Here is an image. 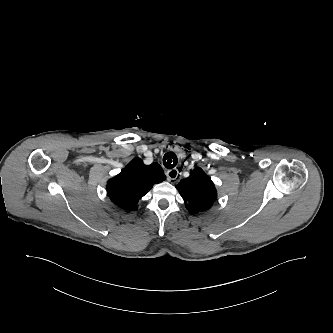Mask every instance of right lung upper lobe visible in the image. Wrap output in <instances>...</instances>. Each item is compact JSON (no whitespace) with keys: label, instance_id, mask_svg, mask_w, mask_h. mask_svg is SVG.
<instances>
[{"label":"right lung upper lobe","instance_id":"right-lung-upper-lobe-1","mask_svg":"<svg viewBox=\"0 0 333 333\" xmlns=\"http://www.w3.org/2000/svg\"><path fill=\"white\" fill-rule=\"evenodd\" d=\"M165 180L158 163L145 165L140 158H134L121 172L107 182V193L117 206L135 210L138 201L154 184Z\"/></svg>","mask_w":333,"mask_h":333}]
</instances>
